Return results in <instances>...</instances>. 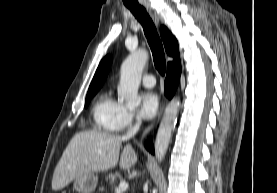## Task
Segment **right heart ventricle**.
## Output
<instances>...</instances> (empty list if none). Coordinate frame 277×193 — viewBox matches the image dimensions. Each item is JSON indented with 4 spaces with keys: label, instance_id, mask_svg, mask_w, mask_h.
Here are the masks:
<instances>
[{
    "label": "right heart ventricle",
    "instance_id": "right-heart-ventricle-1",
    "mask_svg": "<svg viewBox=\"0 0 277 193\" xmlns=\"http://www.w3.org/2000/svg\"><path fill=\"white\" fill-rule=\"evenodd\" d=\"M122 108L109 94L103 95L92 109L95 128L105 132L119 131Z\"/></svg>",
    "mask_w": 277,
    "mask_h": 193
}]
</instances>
